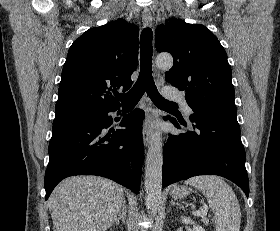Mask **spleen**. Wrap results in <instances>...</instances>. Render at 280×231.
Here are the masks:
<instances>
[{
    "label": "spleen",
    "instance_id": "obj_1",
    "mask_svg": "<svg viewBox=\"0 0 280 231\" xmlns=\"http://www.w3.org/2000/svg\"><path fill=\"white\" fill-rule=\"evenodd\" d=\"M185 183L201 189L214 213L216 231H239L241 211L239 201L230 185L218 175H196Z\"/></svg>",
    "mask_w": 280,
    "mask_h": 231
}]
</instances>
